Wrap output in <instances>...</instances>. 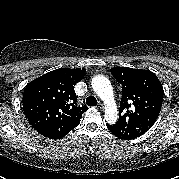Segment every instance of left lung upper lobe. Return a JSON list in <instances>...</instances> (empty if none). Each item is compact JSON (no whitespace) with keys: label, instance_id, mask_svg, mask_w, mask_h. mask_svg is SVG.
Returning <instances> with one entry per match:
<instances>
[{"label":"left lung upper lobe","instance_id":"obj_1","mask_svg":"<svg viewBox=\"0 0 179 179\" xmlns=\"http://www.w3.org/2000/svg\"><path fill=\"white\" fill-rule=\"evenodd\" d=\"M110 72L123 89L119 119L107 127L120 139H135L152 127L161 111L162 84L149 70L114 67Z\"/></svg>","mask_w":179,"mask_h":179}]
</instances>
